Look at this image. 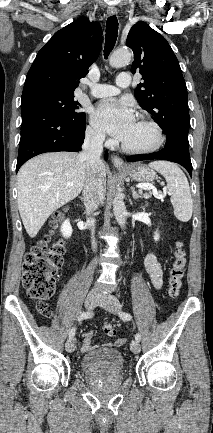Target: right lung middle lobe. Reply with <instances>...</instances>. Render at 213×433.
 I'll return each instance as SVG.
<instances>
[{
	"instance_id": "dd1d6c3e",
	"label": "right lung middle lobe",
	"mask_w": 213,
	"mask_h": 433,
	"mask_svg": "<svg viewBox=\"0 0 213 433\" xmlns=\"http://www.w3.org/2000/svg\"><path fill=\"white\" fill-rule=\"evenodd\" d=\"M21 105H37L50 109L76 125L83 123L86 119L85 113L77 111L79 104L74 101V95L36 92L22 96Z\"/></svg>"
}]
</instances>
